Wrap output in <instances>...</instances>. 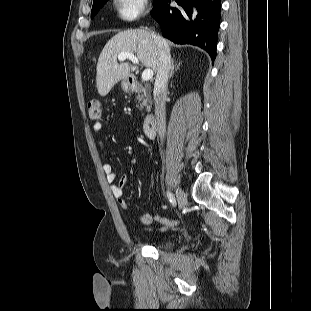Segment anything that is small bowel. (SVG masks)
<instances>
[{
  "label": "small bowel",
  "instance_id": "c3829d8e",
  "mask_svg": "<svg viewBox=\"0 0 311 311\" xmlns=\"http://www.w3.org/2000/svg\"><path fill=\"white\" fill-rule=\"evenodd\" d=\"M101 129L100 123H95L92 126V130L94 132H98ZM103 171L105 173L106 179L108 183L111 185V192L117 198L119 206L123 210H128L129 206L127 201L123 196V189L127 184L128 178L127 176H122L117 181V174L114 171V167L111 163H104L103 164ZM139 222L142 225H150L153 221L159 222L162 227L160 228L161 231H166L168 228L177 225L179 222L177 220H170L160 216H153L150 213H145L139 216Z\"/></svg>",
  "mask_w": 311,
  "mask_h": 311
}]
</instances>
